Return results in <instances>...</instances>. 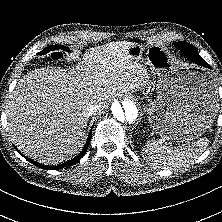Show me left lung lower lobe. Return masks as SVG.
Masks as SVG:
<instances>
[{
	"mask_svg": "<svg viewBox=\"0 0 222 222\" xmlns=\"http://www.w3.org/2000/svg\"><path fill=\"white\" fill-rule=\"evenodd\" d=\"M186 58H188L189 60H191L193 63H196L198 65H201V66H204V67H207V68H210V65L207 63V62H201L200 60L196 59L194 56H191V55H188L186 56Z\"/></svg>",
	"mask_w": 222,
	"mask_h": 222,
	"instance_id": "1",
	"label": "left lung lower lobe"
}]
</instances>
